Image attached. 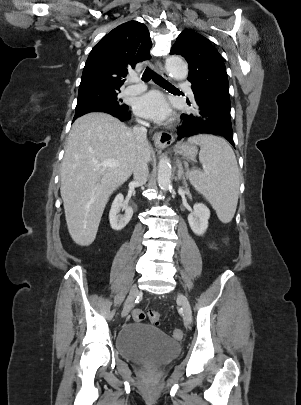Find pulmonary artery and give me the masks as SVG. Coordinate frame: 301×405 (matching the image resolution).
<instances>
[{
  "instance_id": "obj_1",
  "label": "pulmonary artery",
  "mask_w": 301,
  "mask_h": 405,
  "mask_svg": "<svg viewBox=\"0 0 301 405\" xmlns=\"http://www.w3.org/2000/svg\"><path fill=\"white\" fill-rule=\"evenodd\" d=\"M130 82H131V85H129L125 89L126 94L136 95V94L142 93L146 89V86L143 83L139 82V80L137 78H131ZM181 87L183 89H185L190 96L193 97V92L186 83L181 84Z\"/></svg>"
}]
</instances>
